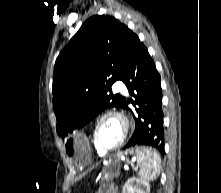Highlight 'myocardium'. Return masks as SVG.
Here are the masks:
<instances>
[{
  "mask_svg": "<svg viewBox=\"0 0 221 193\" xmlns=\"http://www.w3.org/2000/svg\"><path fill=\"white\" fill-rule=\"evenodd\" d=\"M109 117L115 118L121 124L122 133H121V137H120L119 141L114 146L108 148V147H104L100 144V142L98 141L97 132H98V128H99L100 124L103 122V120H105L106 118H109ZM128 132H129V121H128L127 117L120 111L107 110V111L103 112L96 119V121L94 123L93 132H92L93 143H94L95 147L99 151H101L102 153L114 151L122 146V144L124 143V141L128 135Z\"/></svg>",
  "mask_w": 221,
  "mask_h": 193,
  "instance_id": "1",
  "label": "myocardium"
}]
</instances>
